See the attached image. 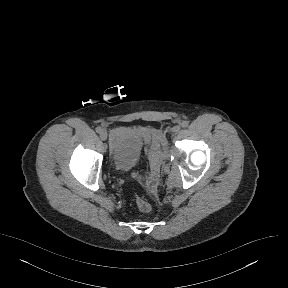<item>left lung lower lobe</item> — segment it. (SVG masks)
Masks as SVG:
<instances>
[{"label": "left lung lower lobe", "mask_w": 288, "mask_h": 288, "mask_svg": "<svg viewBox=\"0 0 288 288\" xmlns=\"http://www.w3.org/2000/svg\"><path fill=\"white\" fill-rule=\"evenodd\" d=\"M265 209V202L263 201V199L259 198L257 200V202L255 203V205L252 207V209L249 212V215L255 214L257 213V216H259L254 223L259 224L262 221L263 218V214L261 215V213L264 211Z\"/></svg>", "instance_id": "0a47b994"}]
</instances>
